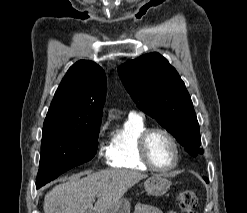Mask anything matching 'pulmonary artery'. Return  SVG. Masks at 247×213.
<instances>
[{"mask_svg": "<svg viewBox=\"0 0 247 213\" xmlns=\"http://www.w3.org/2000/svg\"><path fill=\"white\" fill-rule=\"evenodd\" d=\"M129 116L130 117H140L141 118V114L140 113H137V112H131L130 114H129Z\"/></svg>", "mask_w": 247, "mask_h": 213, "instance_id": "obj_1", "label": "pulmonary artery"}]
</instances>
